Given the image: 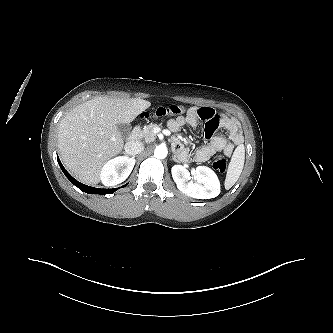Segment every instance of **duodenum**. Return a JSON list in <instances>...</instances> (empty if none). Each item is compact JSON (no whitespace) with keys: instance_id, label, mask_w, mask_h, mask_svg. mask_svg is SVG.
Wrapping results in <instances>:
<instances>
[{"instance_id":"1","label":"duodenum","mask_w":333,"mask_h":333,"mask_svg":"<svg viewBox=\"0 0 333 333\" xmlns=\"http://www.w3.org/2000/svg\"><path fill=\"white\" fill-rule=\"evenodd\" d=\"M140 133H141V127L140 126L134 127V129L131 131L129 135L130 142L136 141L139 138Z\"/></svg>"}]
</instances>
